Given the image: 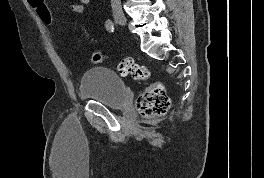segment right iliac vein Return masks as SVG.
Returning <instances> with one entry per match:
<instances>
[{"mask_svg":"<svg viewBox=\"0 0 264 178\" xmlns=\"http://www.w3.org/2000/svg\"><path fill=\"white\" fill-rule=\"evenodd\" d=\"M114 19L119 25H121V26H125L126 25V18L124 16V14L115 13L114 14Z\"/></svg>","mask_w":264,"mask_h":178,"instance_id":"right-iliac-vein-1","label":"right iliac vein"}]
</instances>
